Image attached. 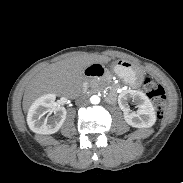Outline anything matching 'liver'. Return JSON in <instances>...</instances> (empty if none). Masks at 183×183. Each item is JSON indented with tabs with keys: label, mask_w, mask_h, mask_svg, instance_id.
Returning a JSON list of instances; mask_svg holds the SVG:
<instances>
[{
	"label": "liver",
	"mask_w": 183,
	"mask_h": 183,
	"mask_svg": "<svg viewBox=\"0 0 183 183\" xmlns=\"http://www.w3.org/2000/svg\"><path fill=\"white\" fill-rule=\"evenodd\" d=\"M110 60L107 56L82 54L50 64L36 74L26 87L24 110H28L38 97L46 93L64 94L67 88L80 86L87 67L94 63H108Z\"/></svg>",
	"instance_id": "6515ba94"
}]
</instances>
